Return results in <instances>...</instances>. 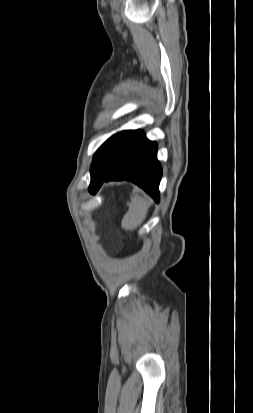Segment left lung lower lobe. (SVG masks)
Returning a JSON list of instances; mask_svg holds the SVG:
<instances>
[{
  "label": "left lung lower lobe",
  "mask_w": 253,
  "mask_h": 413,
  "mask_svg": "<svg viewBox=\"0 0 253 413\" xmlns=\"http://www.w3.org/2000/svg\"><path fill=\"white\" fill-rule=\"evenodd\" d=\"M162 168L157 160V145L149 141L143 131H123L106 162L91 174L89 190L96 193L109 180H129L143 188L159 202V183Z\"/></svg>",
  "instance_id": "left-lung-lower-lobe-1"
}]
</instances>
